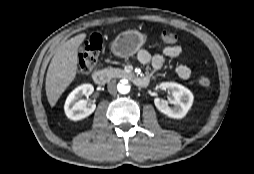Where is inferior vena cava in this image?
<instances>
[{
  "mask_svg": "<svg viewBox=\"0 0 254 174\" xmlns=\"http://www.w3.org/2000/svg\"><path fill=\"white\" fill-rule=\"evenodd\" d=\"M108 92L112 95L117 94V85L115 81H111L108 83Z\"/></svg>",
  "mask_w": 254,
  "mask_h": 174,
  "instance_id": "602c4592",
  "label": "inferior vena cava"
}]
</instances>
